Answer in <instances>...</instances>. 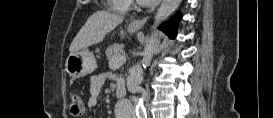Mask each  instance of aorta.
<instances>
[{"label": "aorta", "mask_w": 273, "mask_h": 118, "mask_svg": "<svg viewBox=\"0 0 273 118\" xmlns=\"http://www.w3.org/2000/svg\"><path fill=\"white\" fill-rule=\"evenodd\" d=\"M181 0H163L161 6L159 7L157 14L155 16L154 20V25L152 26L153 28V33L150 35V37L147 39L145 46H144V51L142 53V65L143 66H149L154 54V51L157 46V37H156V32L155 29L157 26H159L164 20H166L179 6ZM136 112L138 114H144L145 112V107L143 104V99H139L137 102L136 106Z\"/></svg>", "instance_id": "obj_1"}]
</instances>
